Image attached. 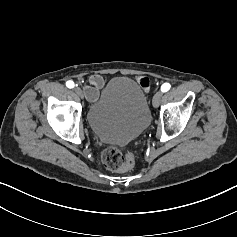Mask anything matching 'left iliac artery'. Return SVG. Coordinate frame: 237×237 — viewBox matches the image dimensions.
Returning <instances> with one entry per match:
<instances>
[{
  "instance_id": "1",
  "label": "left iliac artery",
  "mask_w": 237,
  "mask_h": 237,
  "mask_svg": "<svg viewBox=\"0 0 237 237\" xmlns=\"http://www.w3.org/2000/svg\"><path fill=\"white\" fill-rule=\"evenodd\" d=\"M170 88H171V85H170L169 83H164V84L161 86V91H162V92H167Z\"/></svg>"
}]
</instances>
